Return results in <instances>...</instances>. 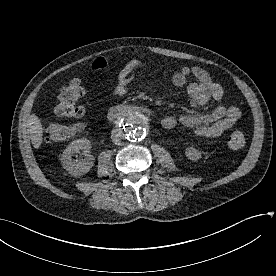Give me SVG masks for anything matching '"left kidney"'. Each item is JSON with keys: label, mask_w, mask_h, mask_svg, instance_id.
Wrapping results in <instances>:
<instances>
[{"label": "left kidney", "mask_w": 276, "mask_h": 276, "mask_svg": "<svg viewBox=\"0 0 276 276\" xmlns=\"http://www.w3.org/2000/svg\"><path fill=\"white\" fill-rule=\"evenodd\" d=\"M185 155L187 156L188 159L192 161H197L198 159L201 158V153L199 152V150L193 147H188L186 149Z\"/></svg>", "instance_id": "5707ae66"}]
</instances>
